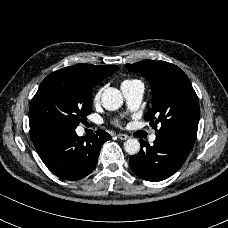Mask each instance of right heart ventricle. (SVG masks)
<instances>
[{
  "mask_svg": "<svg viewBox=\"0 0 228 228\" xmlns=\"http://www.w3.org/2000/svg\"><path fill=\"white\" fill-rule=\"evenodd\" d=\"M133 80H135V79H125V80L122 81V83H124V82H130V81H133Z\"/></svg>",
  "mask_w": 228,
  "mask_h": 228,
  "instance_id": "e07e8e85",
  "label": "right heart ventricle"
}]
</instances>
